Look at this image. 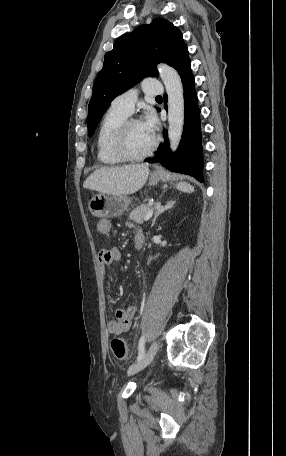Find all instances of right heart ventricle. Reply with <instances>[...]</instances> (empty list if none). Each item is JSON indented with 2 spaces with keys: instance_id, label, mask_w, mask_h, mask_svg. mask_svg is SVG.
<instances>
[{
  "instance_id": "e07e8e85",
  "label": "right heart ventricle",
  "mask_w": 286,
  "mask_h": 456,
  "mask_svg": "<svg viewBox=\"0 0 286 456\" xmlns=\"http://www.w3.org/2000/svg\"><path fill=\"white\" fill-rule=\"evenodd\" d=\"M128 117L123 112L110 107L103 117L96 138L98 161L106 166H114L122 161L113 151V139L120 124Z\"/></svg>"
}]
</instances>
